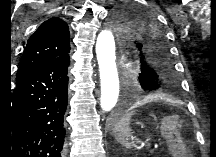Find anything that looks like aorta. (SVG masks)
I'll return each mask as SVG.
<instances>
[{
  "label": "aorta",
  "instance_id": "762f6f07",
  "mask_svg": "<svg viewBox=\"0 0 216 157\" xmlns=\"http://www.w3.org/2000/svg\"><path fill=\"white\" fill-rule=\"evenodd\" d=\"M96 55L100 72V106L105 112L111 111L119 97V77L116 68L115 40L110 30L99 33L96 41Z\"/></svg>",
  "mask_w": 216,
  "mask_h": 157
}]
</instances>
